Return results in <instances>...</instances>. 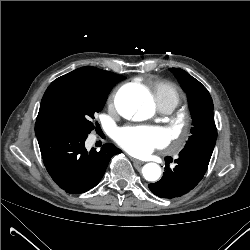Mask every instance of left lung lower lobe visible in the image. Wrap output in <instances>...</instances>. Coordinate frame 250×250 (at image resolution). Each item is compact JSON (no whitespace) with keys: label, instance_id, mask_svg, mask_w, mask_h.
I'll list each match as a JSON object with an SVG mask.
<instances>
[{"label":"left lung lower lobe","instance_id":"left-lung-lower-lobe-1","mask_svg":"<svg viewBox=\"0 0 250 250\" xmlns=\"http://www.w3.org/2000/svg\"><path fill=\"white\" fill-rule=\"evenodd\" d=\"M215 143L216 140H208L185 146L175 160V168L171 170L166 164L162 179L149 184V189L158 197L168 199L189 192L203 178Z\"/></svg>","mask_w":250,"mask_h":250}]
</instances>
